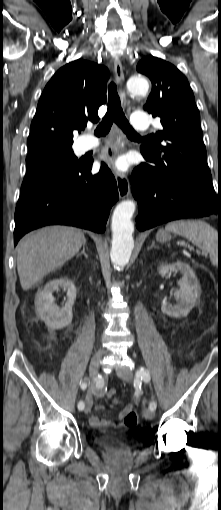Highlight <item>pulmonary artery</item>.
<instances>
[{
  "mask_svg": "<svg viewBox=\"0 0 221 510\" xmlns=\"http://www.w3.org/2000/svg\"><path fill=\"white\" fill-rule=\"evenodd\" d=\"M150 121L148 116L142 112H135L131 116V126L135 130L144 131L149 127ZM98 146V141L92 136H88L84 145L85 150H89Z\"/></svg>",
  "mask_w": 221,
  "mask_h": 510,
  "instance_id": "1",
  "label": "pulmonary artery"
}]
</instances>
